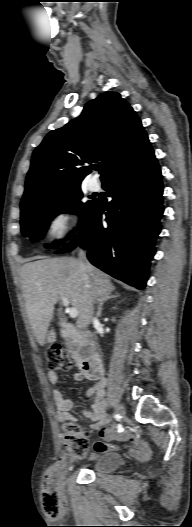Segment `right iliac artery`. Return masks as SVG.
<instances>
[{"mask_svg": "<svg viewBox=\"0 0 192 527\" xmlns=\"http://www.w3.org/2000/svg\"><path fill=\"white\" fill-rule=\"evenodd\" d=\"M117 430L119 432L123 430V423H117Z\"/></svg>", "mask_w": 192, "mask_h": 527, "instance_id": "1", "label": "right iliac artery"}]
</instances>
